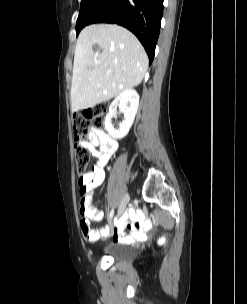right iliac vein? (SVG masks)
<instances>
[{
  "label": "right iliac vein",
  "mask_w": 247,
  "mask_h": 304,
  "mask_svg": "<svg viewBox=\"0 0 247 304\" xmlns=\"http://www.w3.org/2000/svg\"><path fill=\"white\" fill-rule=\"evenodd\" d=\"M128 202H129V195L125 194L123 196L122 201H121V203L119 205V208H118V217H120L123 214V212L126 209V206H127Z\"/></svg>",
  "instance_id": "obj_1"
}]
</instances>
